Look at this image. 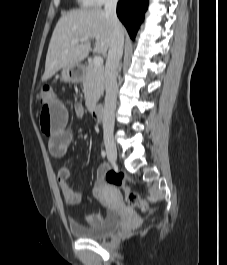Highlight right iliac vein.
Instances as JSON below:
<instances>
[{
  "mask_svg": "<svg viewBox=\"0 0 227 265\" xmlns=\"http://www.w3.org/2000/svg\"><path fill=\"white\" fill-rule=\"evenodd\" d=\"M104 144H105V148H106L109 161L111 163H116L117 149H116V144L114 142V138L112 134L106 133L104 135Z\"/></svg>",
  "mask_w": 227,
  "mask_h": 265,
  "instance_id": "63e3f726",
  "label": "right iliac vein"
}]
</instances>
